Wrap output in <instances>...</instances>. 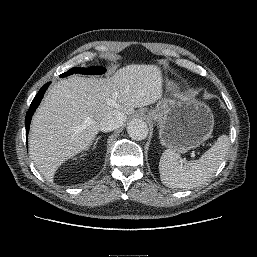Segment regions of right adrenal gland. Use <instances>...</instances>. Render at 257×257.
Here are the masks:
<instances>
[{"instance_id":"2a0ac1e0","label":"right adrenal gland","mask_w":257,"mask_h":257,"mask_svg":"<svg viewBox=\"0 0 257 257\" xmlns=\"http://www.w3.org/2000/svg\"><path fill=\"white\" fill-rule=\"evenodd\" d=\"M99 138H100V137H98V138L96 139V143H97V141H98ZM96 143H94V145H96Z\"/></svg>"}]
</instances>
